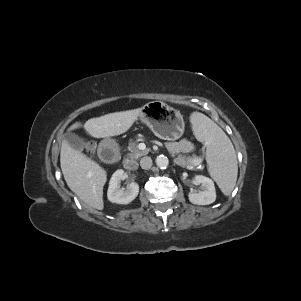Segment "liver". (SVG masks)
Segmentation results:
<instances>
[{
    "mask_svg": "<svg viewBox=\"0 0 301 301\" xmlns=\"http://www.w3.org/2000/svg\"><path fill=\"white\" fill-rule=\"evenodd\" d=\"M140 115V109L110 113L89 119L83 127L95 138L118 136L127 132ZM80 127L81 124L77 122L71 129ZM60 165L68 187L89 207L102 210L106 171L96 162L71 148L65 140L61 145Z\"/></svg>",
    "mask_w": 301,
    "mask_h": 301,
    "instance_id": "1",
    "label": "liver"
}]
</instances>
